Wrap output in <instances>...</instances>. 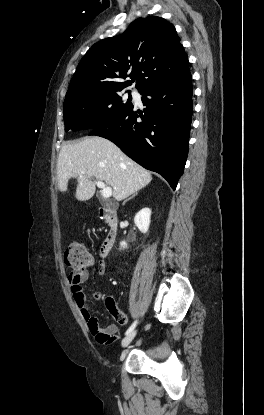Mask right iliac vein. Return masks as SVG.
Returning a JSON list of instances; mask_svg holds the SVG:
<instances>
[{
	"mask_svg": "<svg viewBox=\"0 0 264 415\" xmlns=\"http://www.w3.org/2000/svg\"><path fill=\"white\" fill-rule=\"evenodd\" d=\"M136 333H137V331L136 330H134V331H132L131 333H129L123 340H122V343H121V345H122V347L123 348H125V347H127L130 343H131V341L134 339V337L136 336Z\"/></svg>",
	"mask_w": 264,
	"mask_h": 415,
	"instance_id": "right-iliac-vein-1",
	"label": "right iliac vein"
}]
</instances>
